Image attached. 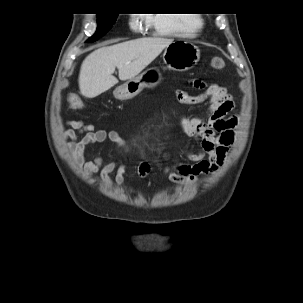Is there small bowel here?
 Returning <instances> with one entry per match:
<instances>
[{
  "instance_id": "small-bowel-1",
  "label": "small bowel",
  "mask_w": 303,
  "mask_h": 303,
  "mask_svg": "<svg viewBox=\"0 0 303 303\" xmlns=\"http://www.w3.org/2000/svg\"><path fill=\"white\" fill-rule=\"evenodd\" d=\"M196 87L203 88L204 84L195 81ZM176 97L179 103L186 106L207 104L203 114L183 117L180 120L182 133L197 142L195 151L189 157L195 161L194 165L179 163L172 167H165L164 174L169 181L176 185H187L195 181L201 174H211L218 170L234 141V120H225V115L233 109V101L226 88L212 84L204 88L197 95L177 89ZM69 128L62 133V139L68 142V149L75 163L89 176H96L106 186L121 185L125 180L126 164L116 162L105 163L102 156L87 160L88 150L107 141L113 142L118 149L129 150L126 140L116 131L97 129L93 123L83 120H69ZM207 158H204V156ZM151 172V165L142 161L137 166V174L147 179ZM115 173L114 176L112 174Z\"/></svg>"
}]
</instances>
